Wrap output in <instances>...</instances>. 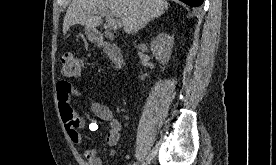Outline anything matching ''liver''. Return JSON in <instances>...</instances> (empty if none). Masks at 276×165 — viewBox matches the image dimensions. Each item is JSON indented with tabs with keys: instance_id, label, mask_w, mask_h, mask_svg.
<instances>
[{
	"instance_id": "6515ba94",
	"label": "liver",
	"mask_w": 276,
	"mask_h": 165,
	"mask_svg": "<svg viewBox=\"0 0 276 165\" xmlns=\"http://www.w3.org/2000/svg\"><path fill=\"white\" fill-rule=\"evenodd\" d=\"M168 6L166 0H72L64 17L63 34L76 24L95 29L102 23V10L119 18L126 33H137Z\"/></svg>"
}]
</instances>
